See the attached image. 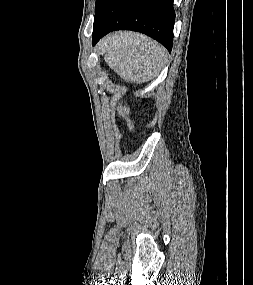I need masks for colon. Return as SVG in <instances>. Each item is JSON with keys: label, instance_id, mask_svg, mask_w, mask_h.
Returning a JSON list of instances; mask_svg holds the SVG:
<instances>
[{"label": "colon", "instance_id": "colon-1", "mask_svg": "<svg viewBox=\"0 0 253 285\" xmlns=\"http://www.w3.org/2000/svg\"><path fill=\"white\" fill-rule=\"evenodd\" d=\"M116 109H117L118 115L120 117H122L127 122V125H128L130 132H133L134 131V124L129 118V108L127 106L121 104L120 102H118L116 105Z\"/></svg>", "mask_w": 253, "mask_h": 285}]
</instances>
